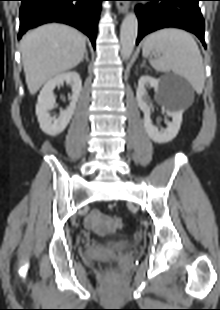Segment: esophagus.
Segmentation results:
<instances>
[{
	"mask_svg": "<svg viewBox=\"0 0 220 310\" xmlns=\"http://www.w3.org/2000/svg\"><path fill=\"white\" fill-rule=\"evenodd\" d=\"M117 8L120 13H126L129 9V4L126 2L118 3Z\"/></svg>",
	"mask_w": 220,
	"mask_h": 310,
	"instance_id": "obj_1",
	"label": "esophagus"
}]
</instances>
